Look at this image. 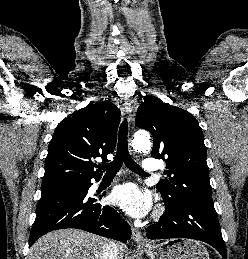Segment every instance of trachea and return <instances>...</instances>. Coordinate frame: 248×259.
<instances>
[{"mask_svg": "<svg viewBox=\"0 0 248 259\" xmlns=\"http://www.w3.org/2000/svg\"><path fill=\"white\" fill-rule=\"evenodd\" d=\"M128 122L124 120L119 129L118 148L115 157L111 163L102 164L99 166L106 171V175H115L120 170L124 163L127 168L137 174H145L141 167L131 158L128 152Z\"/></svg>", "mask_w": 248, "mask_h": 259, "instance_id": "3493384b", "label": "trachea"}]
</instances>
